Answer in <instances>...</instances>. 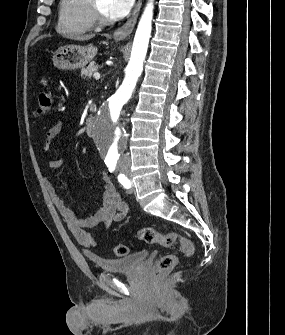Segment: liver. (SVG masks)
<instances>
[{
	"label": "liver",
	"mask_w": 285,
	"mask_h": 335,
	"mask_svg": "<svg viewBox=\"0 0 285 335\" xmlns=\"http://www.w3.org/2000/svg\"><path fill=\"white\" fill-rule=\"evenodd\" d=\"M94 38V34H86V36H70V40H79V42H85V40H91Z\"/></svg>",
	"instance_id": "1"
}]
</instances>
